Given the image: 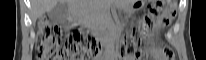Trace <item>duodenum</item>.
<instances>
[{"instance_id":"1","label":"duodenum","mask_w":206,"mask_h":60,"mask_svg":"<svg viewBox=\"0 0 206 60\" xmlns=\"http://www.w3.org/2000/svg\"><path fill=\"white\" fill-rule=\"evenodd\" d=\"M76 26V25H75ZM99 36L100 37H105L106 34H111L112 30L111 29H104L102 26L99 27ZM114 33H117V30H114Z\"/></svg>"}]
</instances>
